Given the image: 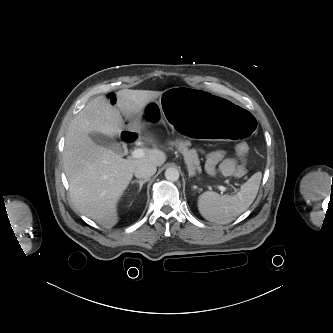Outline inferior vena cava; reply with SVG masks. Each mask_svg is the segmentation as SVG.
Wrapping results in <instances>:
<instances>
[{"instance_id":"1","label":"inferior vena cava","mask_w":333,"mask_h":333,"mask_svg":"<svg viewBox=\"0 0 333 333\" xmlns=\"http://www.w3.org/2000/svg\"><path fill=\"white\" fill-rule=\"evenodd\" d=\"M156 166L150 163H143L135 168L134 175L137 178L149 179L156 173Z\"/></svg>"}]
</instances>
